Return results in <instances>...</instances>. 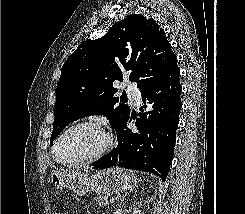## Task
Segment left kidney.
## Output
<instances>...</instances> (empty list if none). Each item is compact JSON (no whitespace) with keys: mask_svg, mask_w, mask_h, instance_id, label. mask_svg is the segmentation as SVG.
<instances>
[{"mask_svg":"<svg viewBox=\"0 0 245 214\" xmlns=\"http://www.w3.org/2000/svg\"><path fill=\"white\" fill-rule=\"evenodd\" d=\"M133 214H140L139 209L136 207H133Z\"/></svg>","mask_w":245,"mask_h":214,"instance_id":"5707ae66","label":"left kidney"}]
</instances>
